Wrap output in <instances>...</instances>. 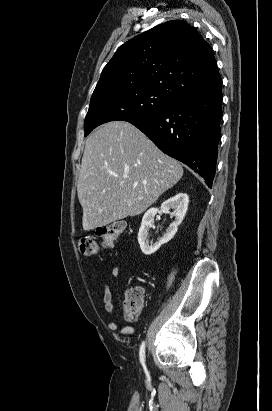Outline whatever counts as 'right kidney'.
I'll return each instance as SVG.
<instances>
[{"mask_svg":"<svg viewBox=\"0 0 272 411\" xmlns=\"http://www.w3.org/2000/svg\"><path fill=\"white\" fill-rule=\"evenodd\" d=\"M189 203V197L186 193H178L175 196L164 201L161 205V210L168 213L170 209H173V215L175 217L174 222H172L163 235V237L156 243L149 245L148 235L149 230L153 225L154 217L158 212L157 208H150L143 216L141 227L138 233V242L142 252L145 255H151L156 252L160 246L164 243L169 242L176 234L178 226L182 223L184 216L187 212Z\"/></svg>","mask_w":272,"mask_h":411,"instance_id":"ca27d5eb","label":"right kidney"}]
</instances>
